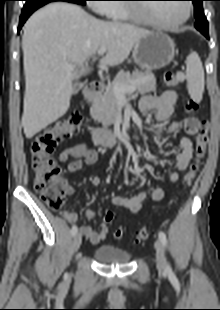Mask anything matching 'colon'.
Listing matches in <instances>:
<instances>
[{"instance_id":"5ec220e1","label":"colon","mask_w":220,"mask_h":310,"mask_svg":"<svg viewBox=\"0 0 220 310\" xmlns=\"http://www.w3.org/2000/svg\"><path fill=\"white\" fill-rule=\"evenodd\" d=\"M164 80L169 87H178L183 82L184 75L168 71L165 73ZM197 107V103L193 100H189L186 104V109L189 112L195 111ZM82 121V113L73 111L54 125L35 135L30 146L31 165L34 172V188L46 205L55 211L60 210L64 206L68 185L61 178L60 167L52 157V152L65 137L71 136L79 130ZM210 127L209 121H203L200 130L195 136L194 159L183 177V184L185 186L191 184L201 167L209 141ZM113 219L114 213L107 211L104 216L105 222L110 223ZM114 236L117 239H121L124 237V231L117 229ZM150 236L151 231L147 228H142L138 231L136 240L143 241Z\"/></svg>"}]
</instances>
